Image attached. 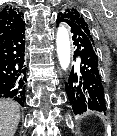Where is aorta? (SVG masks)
<instances>
[{"mask_svg":"<svg viewBox=\"0 0 117 136\" xmlns=\"http://www.w3.org/2000/svg\"><path fill=\"white\" fill-rule=\"evenodd\" d=\"M56 51L61 68L66 71L71 60V44L69 31L65 25H60L56 33Z\"/></svg>","mask_w":117,"mask_h":136,"instance_id":"obj_1","label":"aorta"}]
</instances>
